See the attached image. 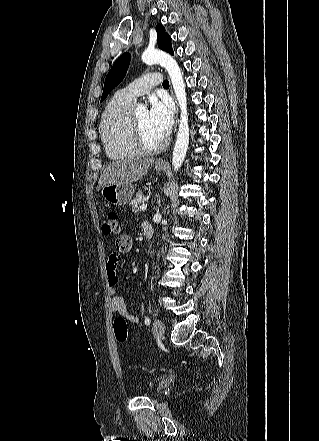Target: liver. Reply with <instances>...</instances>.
Masks as SVG:
<instances>
[{
  "instance_id": "obj_1",
  "label": "liver",
  "mask_w": 319,
  "mask_h": 441,
  "mask_svg": "<svg viewBox=\"0 0 319 441\" xmlns=\"http://www.w3.org/2000/svg\"><path fill=\"white\" fill-rule=\"evenodd\" d=\"M151 158L120 159L110 162L100 176L97 191L109 184L133 183L142 179L153 166Z\"/></svg>"
}]
</instances>
